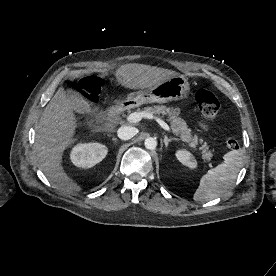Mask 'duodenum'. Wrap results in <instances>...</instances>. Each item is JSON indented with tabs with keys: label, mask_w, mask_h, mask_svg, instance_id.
<instances>
[{
	"label": "duodenum",
	"mask_w": 276,
	"mask_h": 276,
	"mask_svg": "<svg viewBox=\"0 0 276 276\" xmlns=\"http://www.w3.org/2000/svg\"><path fill=\"white\" fill-rule=\"evenodd\" d=\"M124 110V105L117 103L108 108L106 112V120L100 127V130H107L119 117L120 113Z\"/></svg>",
	"instance_id": "obj_1"
}]
</instances>
